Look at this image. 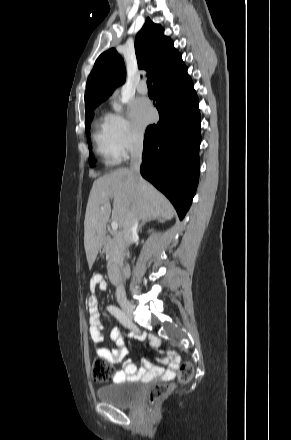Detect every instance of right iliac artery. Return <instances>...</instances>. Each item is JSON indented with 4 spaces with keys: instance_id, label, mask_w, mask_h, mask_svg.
Wrapping results in <instances>:
<instances>
[{
    "instance_id": "1",
    "label": "right iliac artery",
    "mask_w": 291,
    "mask_h": 440,
    "mask_svg": "<svg viewBox=\"0 0 291 440\" xmlns=\"http://www.w3.org/2000/svg\"><path fill=\"white\" fill-rule=\"evenodd\" d=\"M108 311L112 314V315H114L118 320H119V322L122 324V325H124L125 327H128V328H130V326H131V321H130V319L128 318V316L122 311V310H120L118 307H116V306H109L108 307Z\"/></svg>"
}]
</instances>
